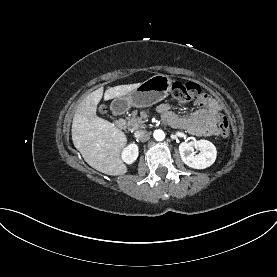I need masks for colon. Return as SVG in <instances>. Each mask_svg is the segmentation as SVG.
<instances>
[{"instance_id": "1", "label": "colon", "mask_w": 277, "mask_h": 277, "mask_svg": "<svg viewBox=\"0 0 277 277\" xmlns=\"http://www.w3.org/2000/svg\"><path fill=\"white\" fill-rule=\"evenodd\" d=\"M172 95L180 104L198 102L202 98L201 88L198 84L190 81H177L173 84ZM101 110H104L103 108ZM219 129L223 137L229 135L228 119L224 115L219 116Z\"/></svg>"}]
</instances>
